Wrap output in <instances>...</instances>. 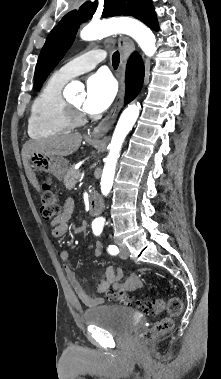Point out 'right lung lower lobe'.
<instances>
[{
    "label": "right lung lower lobe",
    "instance_id": "1",
    "mask_svg": "<svg viewBox=\"0 0 221 379\" xmlns=\"http://www.w3.org/2000/svg\"><path fill=\"white\" fill-rule=\"evenodd\" d=\"M144 79V65L141 57L133 53L127 64L125 102L133 100L141 90Z\"/></svg>",
    "mask_w": 221,
    "mask_h": 379
}]
</instances>
